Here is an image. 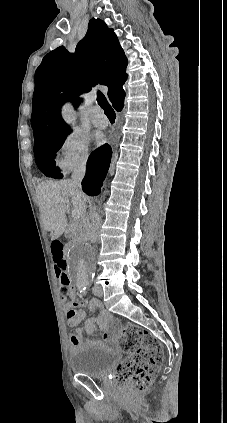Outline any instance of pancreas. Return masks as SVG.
<instances>
[{
  "label": "pancreas",
  "mask_w": 227,
  "mask_h": 423,
  "mask_svg": "<svg viewBox=\"0 0 227 423\" xmlns=\"http://www.w3.org/2000/svg\"><path fill=\"white\" fill-rule=\"evenodd\" d=\"M71 227H72V233H74V235H78V237H80V235H84V225L82 223V221H80V219H77V221H75V223H71ZM73 241V239H72Z\"/></svg>",
  "instance_id": "1"
}]
</instances>
